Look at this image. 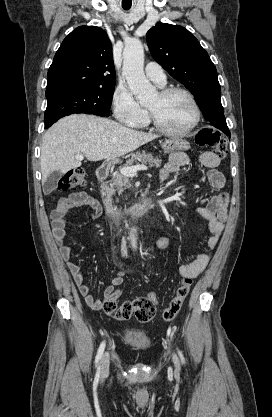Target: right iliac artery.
I'll return each instance as SVG.
<instances>
[{"instance_id":"82829eb1","label":"right iliac artery","mask_w":272,"mask_h":417,"mask_svg":"<svg viewBox=\"0 0 272 417\" xmlns=\"http://www.w3.org/2000/svg\"><path fill=\"white\" fill-rule=\"evenodd\" d=\"M104 349H105V342L103 341L100 344L97 355H96V359H95L96 363H98L101 360ZM99 372H100V366L98 367V374H99Z\"/></svg>"}]
</instances>
